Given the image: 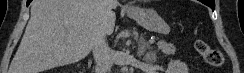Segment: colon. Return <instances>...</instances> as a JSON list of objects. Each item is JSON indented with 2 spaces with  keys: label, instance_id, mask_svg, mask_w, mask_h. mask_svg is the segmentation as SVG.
Wrapping results in <instances>:
<instances>
[{
  "label": "colon",
  "instance_id": "obj_1",
  "mask_svg": "<svg viewBox=\"0 0 244 73\" xmlns=\"http://www.w3.org/2000/svg\"><path fill=\"white\" fill-rule=\"evenodd\" d=\"M195 49L199 55L212 67L219 68L223 66L225 58L223 53L215 47H212L202 39L195 40Z\"/></svg>",
  "mask_w": 244,
  "mask_h": 73
}]
</instances>
